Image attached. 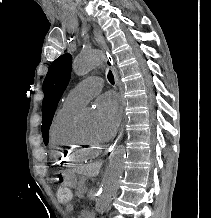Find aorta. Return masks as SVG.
<instances>
[{"instance_id": "obj_1", "label": "aorta", "mask_w": 211, "mask_h": 218, "mask_svg": "<svg viewBox=\"0 0 211 218\" xmlns=\"http://www.w3.org/2000/svg\"><path fill=\"white\" fill-rule=\"evenodd\" d=\"M103 53L99 50H90L81 53L73 61V69L78 76H84L103 62ZM96 124V116L91 111L84 112L80 117V126L91 129ZM126 151L124 146L117 148L109 158V165L101 182V189L96 198L95 211L103 213L109 206L112 197L116 194L123 173Z\"/></svg>"}]
</instances>
